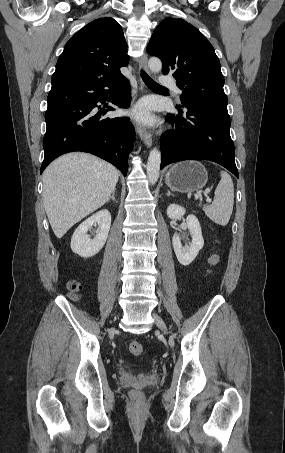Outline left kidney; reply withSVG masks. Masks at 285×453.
<instances>
[{
  "label": "left kidney",
  "mask_w": 285,
  "mask_h": 453,
  "mask_svg": "<svg viewBox=\"0 0 285 453\" xmlns=\"http://www.w3.org/2000/svg\"><path fill=\"white\" fill-rule=\"evenodd\" d=\"M186 210L176 204H171L167 208V216L170 219L176 220L182 218ZM187 227L190 231L192 241L189 246L183 247L181 240L177 234L173 235L172 243L176 257L180 264L189 265L198 255L199 251L204 246L202 231L197 217L193 214L188 215L186 218Z\"/></svg>",
  "instance_id": "1"
}]
</instances>
